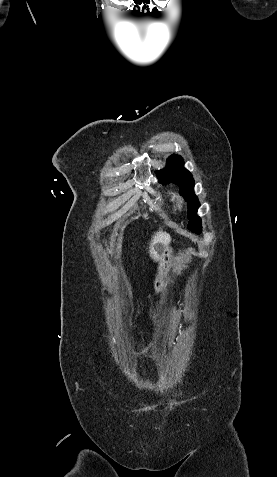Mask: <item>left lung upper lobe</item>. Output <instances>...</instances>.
Here are the masks:
<instances>
[{
    "mask_svg": "<svg viewBox=\"0 0 277 477\" xmlns=\"http://www.w3.org/2000/svg\"><path fill=\"white\" fill-rule=\"evenodd\" d=\"M159 182L175 183L180 187V194L188 203V228L200 234L202 231L201 219L196 212L200 206L197 196L194 193V179L191 173L184 168V161L179 155H172L167 160V166L157 171Z\"/></svg>",
    "mask_w": 277,
    "mask_h": 477,
    "instance_id": "1",
    "label": "left lung upper lobe"
}]
</instances>
